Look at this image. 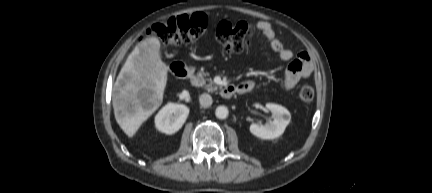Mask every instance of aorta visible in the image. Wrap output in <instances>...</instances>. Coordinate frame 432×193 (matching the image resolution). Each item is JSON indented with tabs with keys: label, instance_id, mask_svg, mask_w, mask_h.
Returning <instances> with one entry per match:
<instances>
[{
	"label": "aorta",
	"instance_id": "aorta-1",
	"mask_svg": "<svg viewBox=\"0 0 432 193\" xmlns=\"http://www.w3.org/2000/svg\"><path fill=\"white\" fill-rule=\"evenodd\" d=\"M229 111L226 106H218L215 111V115L218 119H226L228 117Z\"/></svg>",
	"mask_w": 432,
	"mask_h": 193
}]
</instances>
